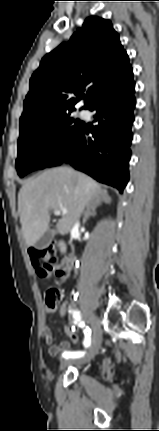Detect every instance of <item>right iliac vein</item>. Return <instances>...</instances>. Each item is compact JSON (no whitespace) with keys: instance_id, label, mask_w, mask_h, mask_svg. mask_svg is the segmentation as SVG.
Returning a JSON list of instances; mask_svg holds the SVG:
<instances>
[{"instance_id":"1","label":"right iliac vein","mask_w":159,"mask_h":431,"mask_svg":"<svg viewBox=\"0 0 159 431\" xmlns=\"http://www.w3.org/2000/svg\"><path fill=\"white\" fill-rule=\"evenodd\" d=\"M87 319H88V322H89L91 329H92V332H93L92 345H91L90 349L85 354V356H83L82 358H80L78 360H63L60 364L61 370L65 369L67 366H69L71 364L82 365V364L88 363L97 354V352L101 346V340H102L99 321H98L97 317L95 316V314H93L92 312L87 313Z\"/></svg>"}]
</instances>
